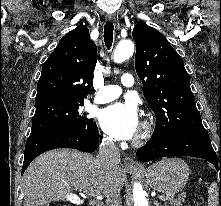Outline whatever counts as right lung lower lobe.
Masks as SVG:
<instances>
[{
	"label": "right lung lower lobe",
	"mask_w": 221,
	"mask_h": 206,
	"mask_svg": "<svg viewBox=\"0 0 221 206\" xmlns=\"http://www.w3.org/2000/svg\"><path fill=\"white\" fill-rule=\"evenodd\" d=\"M98 146L99 132L96 124L84 130H58L30 135L25 146L22 174L31 161L45 151L56 148H74L84 152H93Z\"/></svg>",
	"instance_id": "98d812e1"
}]
</instances>
